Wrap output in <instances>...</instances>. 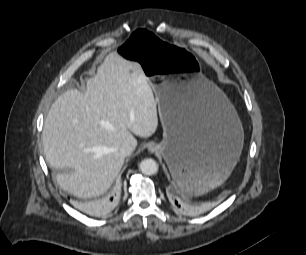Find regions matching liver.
<instances>
[{
  "label": "liver",
  "mask_w": 306,
  "mask_h": 255,
  "mask_svg": "<svg viewBox=\"0 0 306 255\" xmlns=\"http://www.w3.org/2000/svg\"><path fill=\"white\" fill-rule=\"evenodd\" d=\"M158 127L153 90L137 62L110 53L86 82L52 104L43 127L47 162L59 186L80 198L103 194L124 163L119 149L137 146ZM133 133V134H132Z\"/></svg>",
  "instance_id": "obj_1"
}]
</instances>
